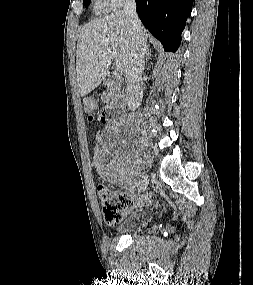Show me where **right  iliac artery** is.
Masks as SVG:
<instances>
[{
  "label": "right iliac artery",
  "instance_id": "obj_1",
  "mask_svg": "<svg viewBox=\"0 0 253 285\" xmlns=\"http://www.w3.org/2000/svg\"><path fill=\"white\" fill-rule=\"evenodd\" d=\"M134 190H135V186L131 185V186L129 187L130 193H134Z\"/></svg>",
  "mask_w": 253,
  "mask_h": 285
}]
</instances>
